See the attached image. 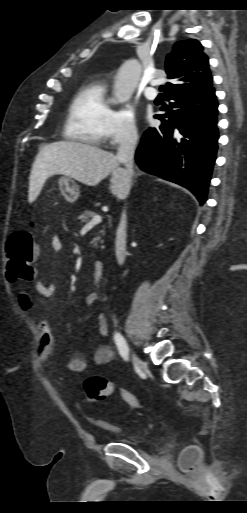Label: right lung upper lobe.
I'll use <instances>...</instances> for the list:
<instances>
[{"instance_id": "cb5924a9", "label": "right lung upper lobe", "mask_w": 247, "mask_h": 513, "mask_svg": "<svg viewBox=\"0 0 247 513\" xmlns=\"http://www.w3.org/2000/svg\"><path fill=\"white\" fill-rule=\"evenodd\" d=\"M167 83L164 95L200 93L212 87V75L203 46L195 39L175 43L166 58Z\"/></svg>"}]
</instances>
